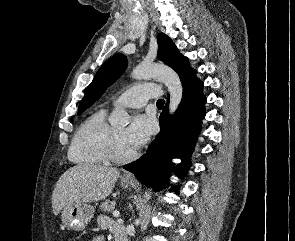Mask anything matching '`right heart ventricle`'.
Here are the masks:
<instances>
[{"mask_svg": "<svg viewBox=\"0 0 295 241\" xmlns=\"http://www.w3.org/2000/svg\"><path fill=\"white\" fill-rule=\"evenodd\" d=\"M105 116V110H98L80 125L68 152L71 162L81 166H98L108 161L106 147L112 128Z\"/></svg>", "mask_w": 295, "mask_h": 241, "instance_id": "right-heart-ventricle-1", "label": "right heart ventricle"}]
</instances>
